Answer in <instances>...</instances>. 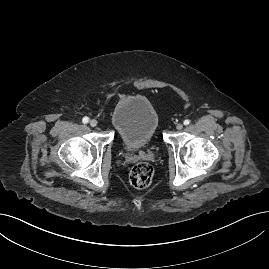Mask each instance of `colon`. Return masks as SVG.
<instances>
[{
    "label": "colon",
    "mask_w": 269,
    "mask_h": 269,
    "mask_svg": "<svg viewBox=\"0 0 269 269\" xmlns=\"http://www.w3.org/2000/svg\"><path fill=\"white\" fill-rule=\"evenodd\" d=\"M153 177V168L148 163L135 165L129 173V182L135 189L147 188Z\"/></svg>",
    "instance_id": "5ec220e1"
}]
</instances>
